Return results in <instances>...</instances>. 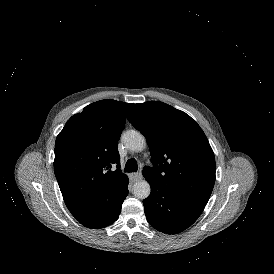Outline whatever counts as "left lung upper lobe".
I'll use <instances>...</instances> for the list:
<instances>
[{"label":"left lung upper lobe","mask_w":274,"mask_h":274,"mask_svg":"<svg viewBox=\"0 0 274 274\" xmlns=\"http://www.w3.org/2000/svg\"><path fill=\"white\" fill-rule=\"evenodd\" d=\"M129 122L146 137L154 167L143 176L188 197L208 201L215 183V157L200 126L163 102L135 104Z\"/></svg>","instance_id":"1"}]
</instances>
